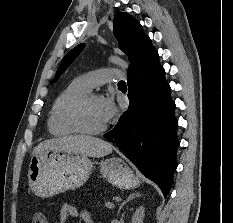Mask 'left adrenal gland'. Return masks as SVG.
Returning <instances> with one entry per match:
<instances>
[{
    "label": "left adrenal gland",
    "mask_w": 233,
    "mask_h": 223,
    "mask_svg": "<svg viewBox=\"0 0 233 223\" xmlns=\"http://www.w3.org/2000/svg\"><path fill=\"white\" fill-rule=\"evenodd\" d=\"M134 197H140V193H130V195H128L127 199H124V201H122V203L117 211V215H119L123 205H125V203H127V201H130V199H134Z\"/></svg>",
    "instance_id": "obj_1"
}]
</instances>
